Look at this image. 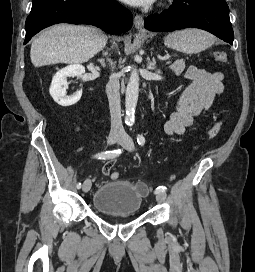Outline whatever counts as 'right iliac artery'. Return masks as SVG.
Segmentation results:
<instances>
[{
    "instance_id": "1",
    "label": "right iliac artery",
    "mask_w": 255,
    "mask_h": 272,
    "mask_svg": "<svg viewBox=\"0 0 255 272\" xmlns=\"http://www.w3.org/2000/svg\"><path fill=\"white\" fill-rule=\"evenodd\" d=\"M122 150L118 149V150H112V151H105V152H101L95 155V158L97 159H111V158H115L117 156H119L121 154ZM76 187L78 189L81 188V183H77Z\"/></svg>"
}]
</instances>
